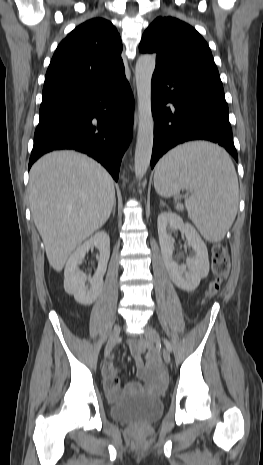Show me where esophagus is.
<instances>
[{
	"instance_id": "1",
	"label": "esophagus",
	"mask_w": 263,
	"mask_h": 465,
	"mask_svg": "<svg viewBox=\"0 0 263 465\" xmlns=\"http://www.w3.org/2000/svg\"><path fill=\"white\" fill-rule=\"evenodd\" d=\"M137 122H138V115H137V113H136V115H135V122H134V128H136Z\"/></svg>"
}]
</instances>
